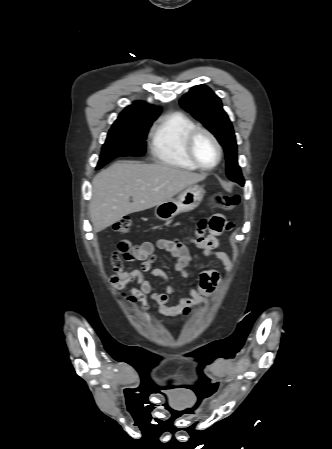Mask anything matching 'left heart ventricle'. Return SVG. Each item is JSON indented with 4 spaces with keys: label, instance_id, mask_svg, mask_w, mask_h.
<instances>
[{
    "label": "left heart ventricle",
    "instance_id": "obj_1",
    "mask_svg": "<svg viewBox=\"0 0 332 449\" xmlns=\"http://www.w3.org/2000/svg\"><path fill=\"white\" fill-rule=\"evenodd\" d=\"M194 153L205 166L212 165L217 159V150L213 142L205 134H199L194 141Z\"/></svg>",
    "mask_w": 332,
    "mask_h": 449
}]
</instances>
